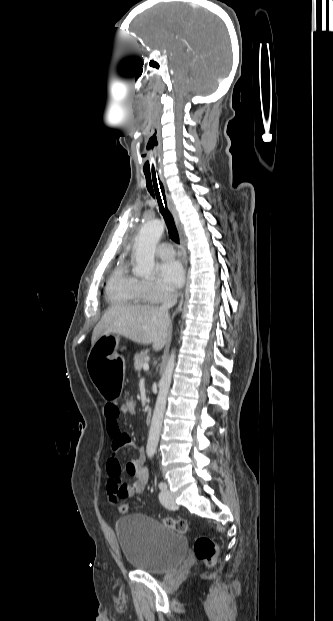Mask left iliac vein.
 Instances as JSON below:
<instances>
[{"label": "left iliac vein", "instance_id": "left-iliac-vein-1", "mask_svg": "<svg viewBox=\"0 0 333 621\" xmlns=\"http://www.w3.org/2000/svg\"><path fill=\"white\" fill-rule=\"evenodd\" d=\"M159 498H160L161 504L164 507H166L168 509H172V510L177 509V504L175 502V498L173 497V495L171 494V492L167 488L162 490Z\"/></svg>", "mask_w": 333, "mask_h": 621}]
</instances>
